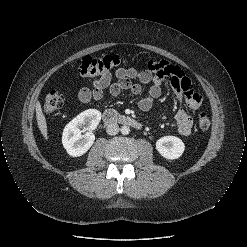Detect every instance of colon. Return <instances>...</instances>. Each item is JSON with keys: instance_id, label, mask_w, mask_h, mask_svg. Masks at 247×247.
<instances>
[{"instance_id": "colon-1", "label": "colon", "mask_w": 247, "mask_h": 247, "mask_svg": "<svg viewBox=\"0 0 247 247\" xmlns=\"http://www.w3.org/2000/svg\"><path fill=\"white\" fill-rule=\"evenodd\" d=\"M127 60L118 55H104L101 57H85L77 67L78 73L88 79H98L109 75L112 71L126 65ZM64 104V98L56 91H50L43 103L45 114H53L60 110ZM197 124L200 129L206 130L210 127V118L207 113L200 112L197 115Z\"/></svg>"}]
</instances>
